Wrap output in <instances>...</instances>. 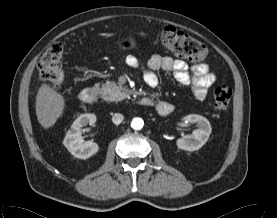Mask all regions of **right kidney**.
<instances>
[{
	"instance_id": "1",
	"label": "right kidney",
	"mask_w": 277,
	"mask_h": 218,
	"mask_svg": "<svg viewBox=\"0 0 277 218\" xmlns=\"http://www.w3.org/2000/svg\"><path fill=\"white\" fill-rule=\"evenodd\" d=\"M95 114H82L71 125L66 133L63 144L68 151L80 159H87L97 153L99 146L92 141H85L82 137V127L96 122Z\"/></svg>"
}]
</instances>
